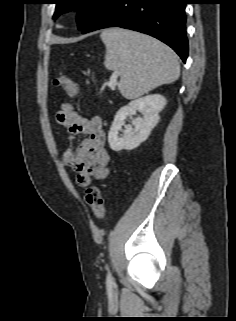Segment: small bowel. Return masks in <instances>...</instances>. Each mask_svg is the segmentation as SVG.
Masks as SVG:
<instances>
[{
  "instance_id": "small-bowel-1",
  "label": "small bowel",
  "mask_w": 236,
  "mask_h": 321,
  "mask_svg": "<svg viewBox=\"0 0 236 321\" xmlns=\"http://www.w3.org/2000/svg\"><path fill=\"white\" fill-rule=\"evenodd\" d=\"M56 123L66 128L71 136L85 134L76 148H68L63 163L77 175V183L83 187L92 180L105 179L110 156L105 147L106 135L101 118L79 115L70 104H64L55 114Z\"/></svg>"
}]
</instances>
